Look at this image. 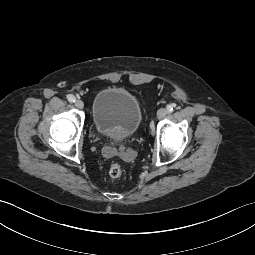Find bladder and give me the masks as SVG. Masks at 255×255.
<instances>
[{
    "label": "bladder",
    "mask_w": 255,
    "mask_h": 255,
    "mask_svg": "<svg viewBox=\"0 0 255 255\" xmlns=\"http://www.w3.org/2000/svg\"><path fill=\"white\" fill-rule=\"evenodd\" d=\"M92 119L96 131L102 136L124 140L138 130L142 110L132 93L121 88H106L93 99Z\"/></svg>",
    "instance_id": "31cf9c89"
}]
</instances>
